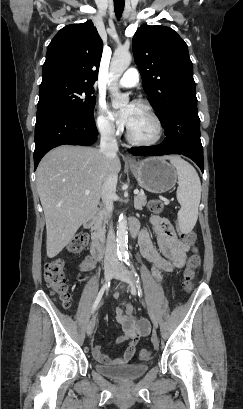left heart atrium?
<instances>
[{
    "label": "left heart atrium",
    "mask_w": 243,
    "mask_h": 409,
    "mask_svg": "<svg viewBox=\"0 0 243 409\" xmlns=\"http://www.w3.org/2000/svg\"><path fill=\"white\" fill-rule=\"evenodd\" d=\"M133 111L134 104H129L123 109L116 111L114 117L120 125L128 127L132 119Z\"/></svg>",
    "instance_id": "left-heart-atrium-1"
}]
</instances>
